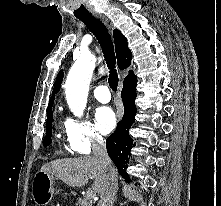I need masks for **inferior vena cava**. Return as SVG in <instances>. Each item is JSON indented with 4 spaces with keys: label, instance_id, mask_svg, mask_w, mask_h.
Listing matches in <instances>:
<instances>
[{
    "label": "inferior vena cava",
    "instance_id": "1",
    "mask_svg": "<svg viewBox=\"0 0 221 206\" xmlns=\"http://www.w3.org/2000/svg\"><path fill=\"white\" fill-rule=\"evenodd\" d=\"M92 150L95 158H97L99 164L101 165L106 174V183L104 186V190L101 193V199L98 203V206H111V203L114 199V195L117 191L116 170L112 165V161L107 154L104 139L95 138L92 141Z\"/></svg>",
    "mask_w": 221,
    "mask_h": 206
}]
</instances>
